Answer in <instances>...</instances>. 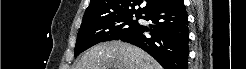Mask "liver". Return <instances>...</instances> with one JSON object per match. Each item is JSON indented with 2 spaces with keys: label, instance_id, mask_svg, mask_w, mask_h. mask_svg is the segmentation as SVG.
<instances>
[{
  "label": "liver",
  "instance_id": "liver-1",
  "mask_svg": "<svg viewBox=\"0 0 246 69\" xmlns=\"http://www.w3.org/2000/svg\"><path fill=\"white\" fill-rule=\"evenodd\" d=\"M161 69L142 49L121 41L100 43L84 53L75 69Z\"/></svg>",
  "mask_w": 246,
  "mask_h": 69
}]
</instances>
